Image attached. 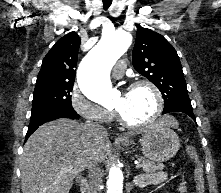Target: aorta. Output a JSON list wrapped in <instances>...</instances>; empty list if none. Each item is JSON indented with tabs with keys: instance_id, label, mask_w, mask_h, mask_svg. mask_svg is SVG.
<instances>
[{
	"instance_id": "1",
	"label": "aorta",
	"mask_w": 221,
	"mask_h": 193,
	"mask_svg": "<svg viewBox=\"0 0 221 193\" xmlns=\"http://www.w3.org/2000/svg\"><path fill=\"white\" fill-rule=\"evenodd\" d=\"M132 42V36L125 31H115L105 36L81 61L77 80L82 93L91 101L105 104L115 95L109 71ZM123 173L112 166L107 181V193L123 192Z\"/></svg>"
}]
</instances>
